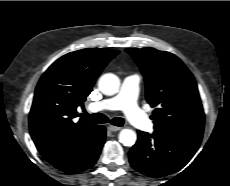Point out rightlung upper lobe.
I'll use <instances>...</instances> for the list:
<instances>
[{"label":"right lung upper lobe","mask_w":230,"mask_h":186,"mask_svg":"<svg viewBox=\"0 0 230 186\" xmlns=\"http://www.w3.org/2000/svg\"><path fill=\"white\" fill-rule=\"evenodd\" d=\"M119 53L110 49H82L56 60L42 75L35 89L29 114L30 135L48 162L65 156L96 125L81 118L76 108L92 91L97 77Z\"/></svg>","instance_id":"obj_1"}]
</instances>
